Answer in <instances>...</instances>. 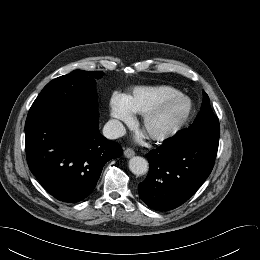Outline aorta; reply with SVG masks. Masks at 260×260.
<instances>
[{
  "instance_id": "1",
  "label": "aorta",
  "mask_w": 260,
  "mask_h": 260,
  "mask_svg": "<svg viewBox=\"0 0 260 260\" xmlns=\"http://www.w3.org/2000/svg\"><path fill=\"white\" fill-rule=\"evenodd\" d=\"M129 169L135 175H144L148 171V161L140 156H134L129 160Z\"/></svg>"
}]
</instances>
